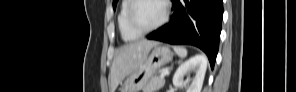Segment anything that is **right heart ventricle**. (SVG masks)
<instances>
[{
	"instance_id": "e07e8e85",
	"label": "right heart ventricle",
	"mask_w": 296,
	"mask_h": 92,
	"mask_svg": "<svg viewBox=\"0 0 296 92\" xmlns=\"http://www.w3.org/2000/svg\"><path fill=\"white\" fill-rule=\"evenodd\" d=\"M131 0H124L120 6V10L117 17L118 28L121 34V37L125 41H133L140 37L139 34L135 33L127 23V13Z\"/></svg>"
}]
</instances>
